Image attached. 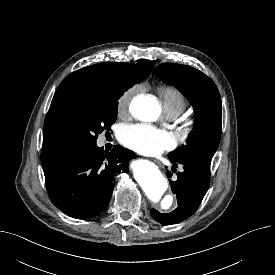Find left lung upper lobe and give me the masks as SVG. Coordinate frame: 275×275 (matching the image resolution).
<instances>
[{"mask_svg": "<svg viewBox=\"0 0 275 275\" xmlns=\"http://www.w3.org/2000/svg\"><path fill=\"white\" fill-rule=\"evenodd\" d=\"M157 77L174 85L194 107L195 128L185 145L170 153L169 158L181 161L203 158L211 161L220 142L222 104L219 91L207 75L180 64L163 63L154 69Z\"/></svg>", "mask_w": 275, "mask_h": 275, "instance_id": "left-lung-upper-lobe-1", "label": "left lung upper lobe"}]
</instances>
